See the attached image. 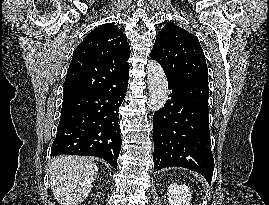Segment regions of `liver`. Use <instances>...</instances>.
Instances as JSON below:
<instances>
[{"label":"liver","mask_w":269,"mask_h":205,"mask_svg":"<svg viewBox=\"0 0 269 205\" xmlns=\"http://www.w3.org/2000/svg\"><path fill=\"white\" fill-rule=\"evenodd\" d=\"M54 198L61 205H78L89 195L97 177V165L86 157L61 155L49 166Z\"/></svg>","instance_id":"liver-1"}]
</instances>
